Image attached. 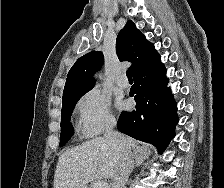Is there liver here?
<instances>
[{
    "label": "liver",
    "mask_w": 224,
    "mask_h": 188,
    "mask_svg": "<svg viewBox=\"0 0 224 188\" xmlns=\"http://www.w3.org/2000/svg\"><path fill=\"white\" fill-rule=\"evenodd\" d=\"M130 150L146 154L149 146H139L123 136ZM119 152L105 137H97L66 150L58 159L54 174V188H87L96 177L113 178L118 167Z\"/></svg>",
    "instance_id": "obj_1"
}]
</instances>
